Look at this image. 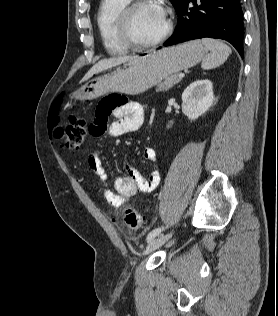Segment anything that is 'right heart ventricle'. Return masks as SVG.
<instances>
[{
	"instance_id": "1",
	"label": "right heart ventricle",
	"mask_w": 278,
	"mask_h": 316,
	"mask_svg": "<svg viewBox=\"0 0 278 316\" xmlns=\"http://www.w3.org/2000/svg\"><path fill=\"white\" fill-rule=\"evenodd\" d=\"M130 1L101 0L99 5L96 16L97 28L103 46L110 54L120 55L129 50L119 33L118 17Z\"/></svg>"
}]
</instances>
